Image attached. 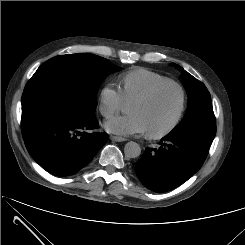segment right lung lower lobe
<instances>
[{"label":"right lung lower lobe","mask_w":245,"mask_h":245,"mask_svg":"<svg viewBox=\"0 0 245 245\" xmlns=\"http://www.w3.org/2000/svg\"><path fill=\"white\" fill-rule=\"evenodd\" d=\"M97 127L95 116L88 120L52 117L22 126V134L29 154L42 168L69 176L88 164L107 142V133H90Z\"/></svg>","instance_id":"obj_1"}]
</instances>
